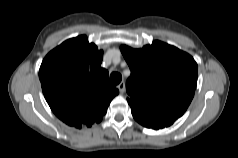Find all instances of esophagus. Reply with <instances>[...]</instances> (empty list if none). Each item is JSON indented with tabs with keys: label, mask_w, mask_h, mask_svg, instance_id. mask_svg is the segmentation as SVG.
I'll list each match as a JSON object with an SVG mask.
<instances>
[{
	"label": "esophagus",
	"mask_w": 238,
	"mask_h": 158,
	"mask_svg": "<svg viewBox=\"0 0 238 158\" xmlns=\"http://www.w3.org/2000/svg\"><path fill=\"white\" fill-rule=\"evenodd\" d=\"M117 87H118L120 93H124L125 92L126 88H125V82L124 81L120 82Z\"/></svg>",
	"instance_id": "34e87169"
}]
</instances>
